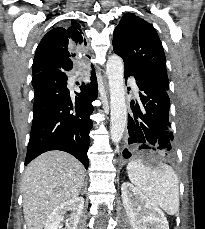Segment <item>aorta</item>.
I'll return each instance as SVG.
<instances>
[{
    "instance_id": "762f6f07",
    "label": "aorta",
    "mask_w": 205,
    "mask_h": 229,
    "mask_svg": "<svg viewBox=\"0 0 205 229\" xmlns=\"http://www.w3.org/2000/svg\"><path fill=\"white\" fill-rule=\"evenodd\" d=\"M110 90V135L114 143L121 141L127 125V107L124 86V64L121 57L112 55L106 63Z\"/></svg>"
}]
</instances>
